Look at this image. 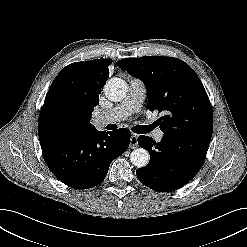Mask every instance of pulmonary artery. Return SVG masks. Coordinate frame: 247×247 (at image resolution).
I'll list each match as a JSON object with an SVG mask.
<instances>
[{"instance_id":"pulmonary-artery-1","label":"pulmonary artery","mask_w":247,"mask_h":247,"mask_svg":"<svg viewBox=\"0 0 247 247\" xmlns=\"http://www.w3.org/2000/svg\"><path fill=\"white\" fill-rule=\"evenodd\" d=\"M145 85L139 79H132L129 84V90L125 99L112 108L111 110L101 114L96 119L98 126H103L110 123H116L126 119L129 115L140 111L145 99ZM164 133L160 129L153 132V137L156 140H161Z\"/></svg>"}]
</instances>
